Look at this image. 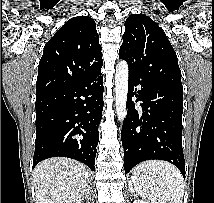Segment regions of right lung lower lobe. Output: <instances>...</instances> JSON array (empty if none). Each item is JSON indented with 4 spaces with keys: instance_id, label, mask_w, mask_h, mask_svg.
Returning a JSON list of instances; mask_svg holds the SVG:
<instances>
[{
    "instance_id": "obj_1",
    "label": "right lung lower lobe",
    "mask_w": 214,
    "mask_h": 203,
    "mask_svg": "<svg viewBox=\"0 0 214 203\" xmlns=\"http://www.w3.org/2000/svg\"><path fill=\"white\" fill-rule=\"evenodd\" d=\"M101 71L36 97L33 167L51 157H69L95 169L103 109Z\"/></svg>"
}]
</instances>
